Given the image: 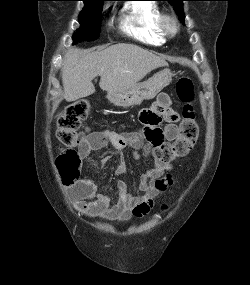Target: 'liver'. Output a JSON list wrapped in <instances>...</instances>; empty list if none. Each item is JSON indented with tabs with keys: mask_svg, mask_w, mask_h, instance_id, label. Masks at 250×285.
I'll list each match as a JSON object with an SVG mask.
<instances>
[{
	"mask_svg": "<svg viewBox=\"0 0 250 285\" xmlns=\"http://www.w3.org/2000/svg\"><path fill=\"white\" fill-rule=\"evenodd\" d=\"M166 65L164 57L133 44L119 43L97 51L72 48L62 64L64 97L72 102L92 95L96 76H100L99 86L104 91L126 89Z\"/></svg>",
	"mask_w": 250,
	"mask_h": 285,
	"instance_id": "obj_1",
	"label": "liver"
}]
</instances>
